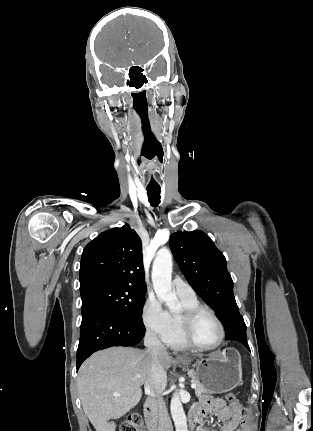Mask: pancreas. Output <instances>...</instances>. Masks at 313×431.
<instances>
[{"label": "pancreas", "mask_w": 313, "mask_h": 431, "mask_svg": "<svg viewBox=\"0 0 313 431\" xmlns=\"http://www.w3.org/2000/svg\"><path fill=\"white\" fill-rule=\"evenodd\" d=\"M189 374L192 378V382H194L197 385L195 388L196 396L199 397V396H201V394L208 393V391L200 384V382L198 381V379L196 378L194 373L192 371H190Z\"/></svg>", "instance_id": "obj_1"}]
</instances>
